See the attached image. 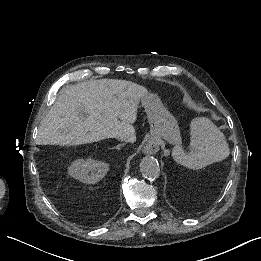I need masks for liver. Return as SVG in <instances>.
Listing matches in <instances>:
<instances>
[{"instance_id":"liver-1","label":"liver","mask_w":261,"mask_h":261,"mask_svg":"<svg viewBox=\"0 0 261 261\" xmlns=\"http://www.w3.org/2000/svg\"><path fill=\"white\" fill-rule=\"evenodd\" d=\"M144 86L131 81L99 79L68 86L38 129L40 144L75 146L108 138L134 143L132 125Z\"/></svg>"}]
</instances>
